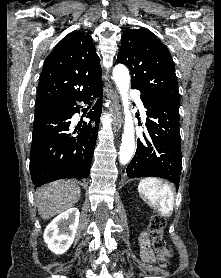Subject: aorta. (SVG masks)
Masks as SVG:
<instances>
[{
    "instance_id": "aorta-1",
    "label": "aorta",
    "mask_w": 221,
    "mask_h": 278,
    "mask_svg": "<svg viewBox=\"0 0 221 278\" xmlns=\"http://www.w3.org/2000/svg\"><path fill=\"white\" fill-rule=\"evenodd\" d=\"M113 80L116 83L121 95L124 106L125 124L120 146L119 161L121 164H127L132 158L135 148L134 124L129 109L128 90L130 85V76L127 67L118 64L113 69Z\"/></svg>"
}]
</instances>
